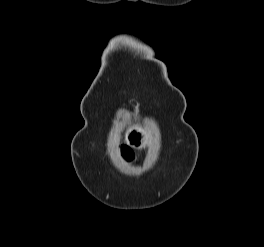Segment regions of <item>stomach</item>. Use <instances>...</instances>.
<instances>
[{
  "label": "stomach",
  "mask_w": 264,
  "mask_h": 247,
  "mask_svg": "<svg viewBox=\"0 0 264 247\" xmlns=\"http://www.w3.org/2000/svg\"><path fill=\"white\" fill-rule=\"evenodd\" d=\"M153 139V130L148 126H134L125 132V141L128 145L136 149L148 146Z\"/></svg>",
  "instance_id": "0dacf381"
}]
</instances>
